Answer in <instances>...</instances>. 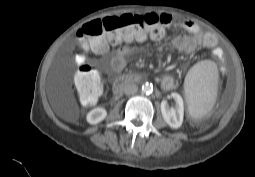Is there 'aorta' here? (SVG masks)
Masks as SVG:
<instances>
[{
	"label": "aorta",
	"mask_w": 255,
	"mask_h": 177,
	"mask_svg": "<svg viewBox=\"0 0 255 177\" xmlns=\"http://www.w3.org/2000/svg\"><path fill=\"white\" fill-rule=\"evenodd\" d=\"M152 91H153V85L151 83L146 82L142 85V92L146 94H150L152 93Z\"/></svg>",
	"instance_id": "762f6f07"
}]
</instances>
